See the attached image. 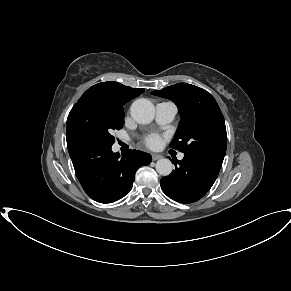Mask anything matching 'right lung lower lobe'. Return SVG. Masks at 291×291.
I'll return each instance as SVG.
<instances>
[{
    "mask_svg": "<svg viewBox=\"0 0 291 291\" xmlns=\"http://www.w3.org/2000/svg\"><path fill=\"white\" fill-rule=\"evenodd\" d=\"M66 140L79 182L87 195L100 203L127 195L137 169L152 161L150 154L138 150L120 156L111 146L83 136H67Z\"/></svg>",
    "mask_w": 291,
    "mask_h": 291,
    "instance_id": "98d812e1",
    "label": "right lung lower lobe"
}]
</instances>
